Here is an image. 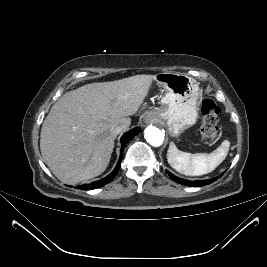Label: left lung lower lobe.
<instances>
[{"instance_id":"obj_1","label":"left lung lower lobe","mask_w":267,"mask_h":267,"mask_svg":"<svg viewBox=\"0 0 267 267\" xmlns=\"http://www.w3.org/2000/svg\"><path fill=\"white\" fill-rule=\"evenodd\" d=\"M166 173L169 175V177L180 184L186 185V186H193V187H198V186H204V185H208L214 181H216L218 178H220L223 173L221 175H219L218 177H215L213 179H208V180H201V181H189V180H185V179H181L178 178L176 176H174L172 173H170L169 171L166 170Z\"/></svg>"}]
</instances>
